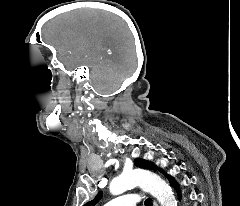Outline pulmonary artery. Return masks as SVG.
Wrapping results in <instances>:
<instances>
[{
  "instance_id": "1",
  "label": "pulmonary artery",
  "mask_w": 240,
  "mask_h": 206,
  "mask_svg": "<svg viewBox=\"0 0 240 206\" xmlns=\"http://www.w3.org/2000/svg\"><path fill=\"white\" fill-rule=\"evenodd\" d=\"M139 198L135 194H125L108 201L104 206H136Z\"/></svg>"
}]
</instances>
